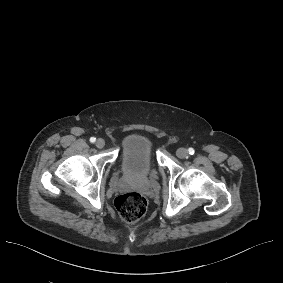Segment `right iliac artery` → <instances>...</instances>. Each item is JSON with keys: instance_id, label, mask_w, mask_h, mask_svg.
I'll return each instance as SVG.
<instances>
[{"instance_id": "right-iliac-artery-1", "label": "right iliac artery", "mask_w": 283, "mask_h": 283, "mask_svg": "<svg viewBox=\"0 0 283 283\" xmlns=\"http://www.w3.org/2000/svg\"><path fill=\"white\" fill-rule=\"evenodd\" d=\"M96 141V138L95 137H91L90 138V142L94 143Z\"/></svg>"}]
</instances>
